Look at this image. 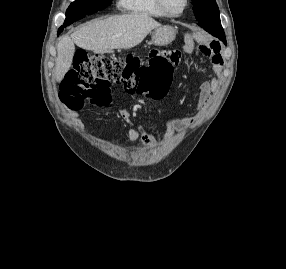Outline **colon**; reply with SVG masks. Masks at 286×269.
<instances>
[{
  "instance_id": "obj_1",
  "label": "colon",
  "mask_w": 286,
  "mask_h": 269,
  "mask_svg": "<svg viewBox=\"0 0 286 269\" xmlns=\"http://www.w3.org/2000/svg\"><path fill=\"white\" fill-rule=\"evenodd\" d=\"M148 57L149 61L142 62L134 55L115 58L79 49L74 68L63 85L61 102L72 110L82 107L86 100L104 104L108 101L111 82L123 84L130 94L161 97L171 84L173 61L178 52L154 49Z\"/></svg>"
}]
</instances>
